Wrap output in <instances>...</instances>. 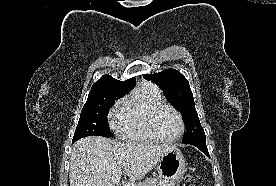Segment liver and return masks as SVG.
Listing matches in <instances>:
<instances>
[{"mask_svg": "<svg viewBox=\"0 0 276 186\" xmlns=\"http://www.w3.org/2000/svg\"><path fill=\"white\" fill-rule=\"evenodd\" d=\"M171 145L118 142L90 136L77 141L70 155V186H115L114 175L135 181L152 170Z\"/></svg>", "mask_w": 276, "mask_h": 186, "instance_id": "obj_1", "label": "liver"}]
</instances>
